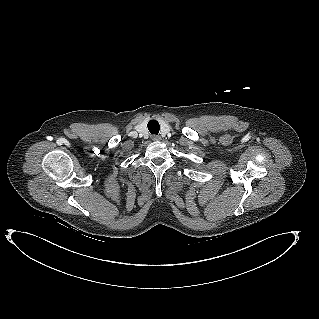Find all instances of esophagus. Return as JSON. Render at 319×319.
I'll return each instance as SVG.
<instances>
[{"mask_svg":"<svg viewBox=\"0 0 319 319\" xmlns=\"http://www.w3.org/2000/svg\"><path fill=\"white\" fill-rule=\"evenodd\" d=\"M151 138L153 141H159L161 139L160 136H158V135H152Z\"/></svg>","mask_w":319,"mask_h":319,"instance_id":"esophagus-1","label":"esophagus"}]
</instances>
